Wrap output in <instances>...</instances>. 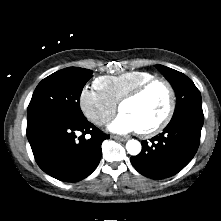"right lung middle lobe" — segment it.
<instances>
[{
    "mask_svg": "<svg viewBox=\"0 0 221 221\" xmlns=\"http://www.w3.org/2000/svg\"><path fill=\"white\" fill-rule=\"evenodd\" d=\"M92 71L79 67L59 70L36 87L27 109V121L50 114L83 116L80 95Z\"/></svg>",
    "mask_w": 221,
    "mask_h": 221,
    "instance_id": "right-lung-middle-lobe-1",
    "label": "right lung middle lobe"
}]
</instances>
